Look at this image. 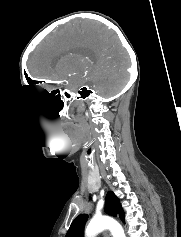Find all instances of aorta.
<instances>
[{
    "label": "aorta",
    "mask_w": 181,
    "mask_h": 237,
    "mask_svg": "<svg viewBox=\"0 0 181 237\" xmlns=\"http://www.w3.org/2000/svg\"><path fill=\"white\" fill-rule=\"evenodd\" d=\"M110 230L113 237H125L122 226L113 218L108 216L94 217L85 230V237H95L103 230Z\"/></svg>",
    "instance_id": "762f6f07"
}]
</instances>
